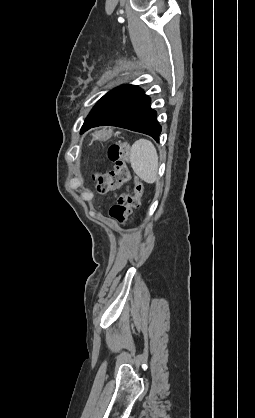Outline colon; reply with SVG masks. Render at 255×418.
I'll use <instances>...</instances> for the list:
<instances>
[{
  "label": "colon",
  "mask_w": 255,
  "mask_h": 418,
  "mask_svg": "<svg viewBox=\"0 0 255 418\" xmlns=\"http://www.w3.org/2000/svg\"><path fill=\"white\" fill-rule=\"evenodd\" d=\"M129 146L126 143L113 144L108 149V158L113 164V170L108 174L97 175L99 191L102 193L119 188L131 177L128 163ZM134 193L119 199V203L112 207L110 215L124 222L126 216L132 210L139 208L143 194V185L137 179H133Z\"/></svg>",
  "instance_id": "5ec220e1"
}]
</instances>
